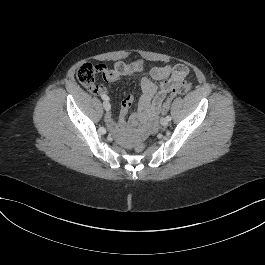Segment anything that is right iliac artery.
<instances>
[{
    "instance_id": "obj_1",
    "label": "right iliac artery",
    "mask_w": 265,
    "mask_h": 265,
    "mask_svg": "<svg viewBox=\"0 0 265 265\" xmlns=\"http://www.w3.org/2000/svg\"><path fill=\"white\" fill-rule=\"evenodd\" d=\"M101 98H102L103 100H105V101H108V100H109V97L106 96V95H101Z\"/></svg>"
}]
</instances>
